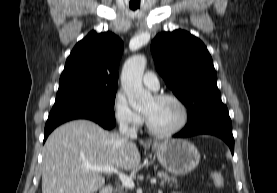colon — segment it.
<instances>
[{
  "instance_id": "5ec220e1",
  "label": "colon",
  "mask_w": 277,
  "mask_h": 193,
  "mask_svg": "<svg viewBox=\"0 0 277 193\" xmlns=\"http://www.w3.org/2000/svg\"><path fill=\"white\" fill-rule=\"evenodd\" d=\"M210 178H211L213 185L216 188L222 189L224 187L225 180H224V176L221 172H218V171L211 172Z\"/></svg>"
}]
</instances>
